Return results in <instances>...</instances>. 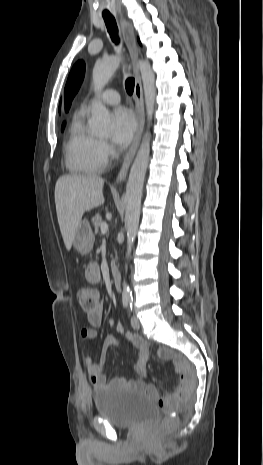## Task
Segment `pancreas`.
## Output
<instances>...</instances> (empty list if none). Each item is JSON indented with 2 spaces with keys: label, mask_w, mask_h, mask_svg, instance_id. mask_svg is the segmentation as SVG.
<instances>
[{
  "label": "pancreas",
  "mask_w": 263,
  "mask_h": 465,
  "mask_svg": "<svg viewBox=\"0 0 263 465\" xmlns=\"http://www.w3.org/2000/svg\"><path fill=\"white\" fill-rule=\"evenodd\" d=\"M92 226L94 227L95 234H98L101 229L102 218L100 215H96L91 219ZM113 265V262H112Z\"/></svg>",
  "instance_id": "1"
}]
</instances>
